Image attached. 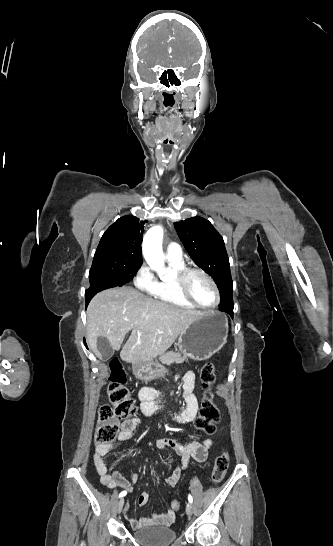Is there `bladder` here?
Returning <instances> with one entry per match:
<instances>
[{
	"mask_svg": "<svg viewBox=\"0 0 333 546\" xmlns=\"http://www.w3.org/2000/svg\"><path fill=\"white\" fill-rule=\"evenodd\" d=\"M137 542L143 546H169L177 537L174 529L167 526H148L133 533Z\"/></svg>",
	"mask_w": 333,
	"mask_h": 546,
	"instance_id": "1",
	"label": "bladder"
}]
</instances>
